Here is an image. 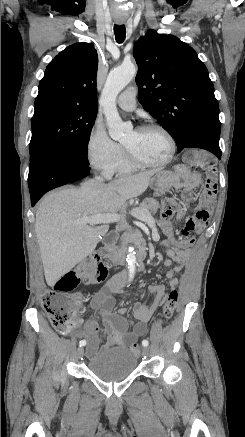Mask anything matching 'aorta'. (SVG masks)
Returning a JSON list of instances; mask_svg holds the SVG:
<instances>
[{
  "mask_svg": "<svg viewBox=\"0 0 245 437\" xmlns=\"http://www.w3.org/2000/svg\"><path fill=\"white\" fill-rule=\"evenodd\" d=\"M136 73V67L132 63L123 64L111 70L106 79L102 95L101 105L104 108L109 135L113 140H120L124 137L129 126L124 124L118 114L116 107V98L118 94L133 79ZM129 279H133L136 268V256L133 249H130L127 255Z\"/></svg>",
  "mask_w": 245,
  "mask_h": 437,
  "instance_id": "1",
  "label": "aorta"
}]
</instances>
